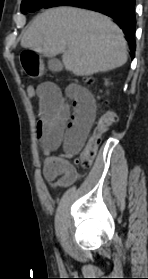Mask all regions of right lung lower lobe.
<instances>
[{
	"instance_id": "right-lung-lower-lobe-1",
	"label": "right lung lower lobe",
	"mask_w": 148,
	"mask_h": 279,
	"mask_svg": "<svg viewBox=\"0 0 148 279\" xmlns=\"http://www.w3.org/2000/svg\"><path fill=\"white\" fill-rule=\"evenodd\" d=\"M64 5L94 10L113 18L126 35L131 57L134 58L135 0H49L44 8Z\"/></svg>"
}]
</instances>
